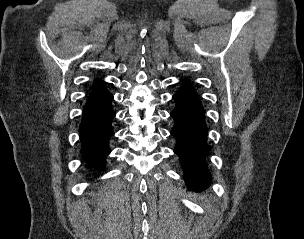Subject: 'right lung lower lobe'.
<instances>
[{
	"mask_svg": "<svg viewBox=\"0 0 304 239\" xmlns=\"http://www.w3.org/2000/svg\"><path fill=\"white\" fill-rule=\"evenodd\" d=\"M112 99L102 84L96 85L83 109L79 128L81 151L88 163L100 170L105 168V158L110 153L109 138L114 135Z\"/></svg>",
	"mask_w": 304,
	"mask_h": 239,
	"instance_id": "98d812e1",
	"label": "right lung lower lobe"
}]
</instances>
